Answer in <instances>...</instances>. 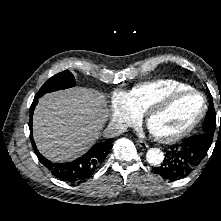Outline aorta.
I'll use <instances>...</instances> for the list:
<instances>
[{
    "instance_id": "obj_1",
    "label": "aorta",
    "mask_w": 221,
    "mask_h": 221,
    "mask_svg": "<svg viewBox=\"0 0 221 221\" xmlns=\"http://www.w3.org/2000/svg\"><path fill=\"white\" fill-rule=\"evenodd\" d=\"M147 162L151 165H159L164 160L163 152L158 148H151L146 154Z\"/></svg>"
}]
</instances>
